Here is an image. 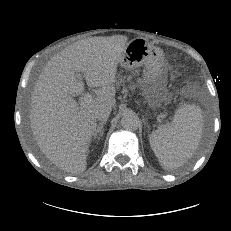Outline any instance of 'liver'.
<instances>
[{
  "mask_svg": "<svg viewBox=\"0 0 231 231\" xmlns=\"http://www.w3.org/2000/svg\"><path fill=\"white\" fill-rule=\"evenodd\" d=\"M127 41L114 35L75 42L48 61L39 76L31 96L32 133L42 153L66 172L86 169L96 111L116 106L117 67ZM79 72L89 87H99L85 107L73 98L84 91Z\"/></svg>",
  "mask_w": 231,
  "mask_h": 231,
  "instance_id": "1",
  "label": "liver"
}]
</instances>
